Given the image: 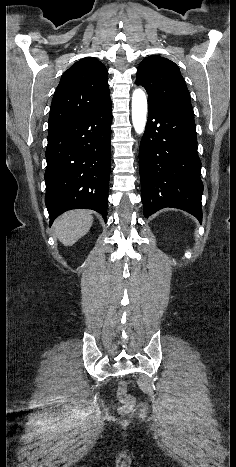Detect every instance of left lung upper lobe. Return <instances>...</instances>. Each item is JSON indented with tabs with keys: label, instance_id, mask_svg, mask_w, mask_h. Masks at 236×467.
<instances>
[{
	"label": "left lung upper lobe",
	"instance_id": "obj_1",
	"mask_svg": "<svg viewBox=\"0 0 236 467\" xmlns=\"http://www.w3.org/2000/svg\"><path fill=\"white\" fill-rule=\"evenodd\" d=\"M136 84L146 89L149 104L192 108L180 69L167 58L157 55L146 57L138 67Z\"/></svg>",
	"mask_w": 236,
	"mask_h": 467
}]
</instances>
